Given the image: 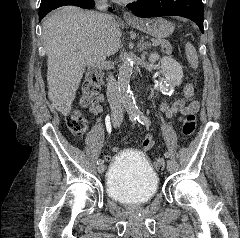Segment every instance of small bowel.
Segmentation results:
<instances>
[{"label": "small bowel", "instance_id": "obj_1", "mask_svg": "<svg viewBox=\"0 0 240 238\" xmlns=\"http://www.w3.org/2000/svg\"><path fill=\"white\" fill-rule=\"evenodd\" d=\"M103 96H98L93 101V103L89 106V110L91 113L97 115L103 111V107L101 102L103 101ZM200 108V104L196 100H192L189 104H186L184 99H179L174 101L173 103H163L160 107L161 111L168 118H172L174 116L180 115L181 117H186L189 114H196ZM153 145V138L148 136L144 139L142 146L143 148L149 149ZM113 154H118L119 151H122V146H112L111 147ZM145 152V151H144ZM102 159L104 162H109L111 159V154H102Z\"/></svg>", "mask_w": 240, "mask_h": 238}]
</instances>
